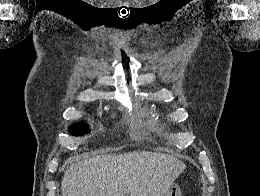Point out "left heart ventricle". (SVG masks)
Here are the masks:
<instances>
[{"mask_svg":"<svg viewBox=\"0 0 260 196\" xmlns=\"http://www.w3.org/2000/svg\"><path fill=\"white\" fill-rule=\"evenodd\" d=\"M100 190H89V192H99Z\"/></svg>","mask_w":260,"mask_h":196,"instance_id":"b2bd125f","label":"left heart ventricle"}]
</instances>
